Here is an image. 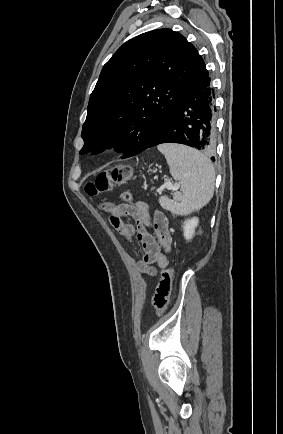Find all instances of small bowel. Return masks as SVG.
<instances>
[{
    "label": "small bowel",
    "instance_id": "c3829d8e",
    "mask_svg": "<svg viewBox=\"0 0 283 434\" xmlns=\"http://www.w3.org/2000/svg\"><path fill=\"white\" fill-rule=\"evenodd\" d=\"M109 220L112 227L128 241L137 239L143 248L137 267L148 275H156V266L164 268L168 265L172 238L168 220L161 211H156L153 217L149 206L143 201L133 205L109 206ZM124 216H130L135 224L127 223Z\"/></svg>",
    "mask_w": 283,
    "mask_h": 434
}]
</instances>
